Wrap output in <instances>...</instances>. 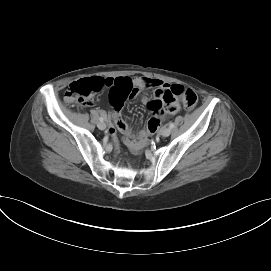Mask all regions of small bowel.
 I'll use <instances>...</instances> for the list:
<instances>
[{
	"instance_id": "small-bowel-1",
	"label": "small bowel",
	"mask_w": 271,
	"mask_h": 271,
	"mask_svg": "<svg viewBox=\"0 0 271 271\" xmlns=\"http://www.w3.org/2000/svg\"><path fill=\"white\" fill-rule=\"evenodd\" d=\"M105 83L104 98L111 101L110 117L113 125L109 131L112 135L120 132L125 135L126 142L134 146L139 141L140 137L135 135L132 129L128 126L121 114L123 103L134 96L141 93V88H151L154 91V98L149 99L146 96L142 97V102L145 103L148 109L153 114V119L160 120L166 114H174L179 110L178 104L171 107H166L162 100V93L172 85L164 83L158 79L149 78H102Z\"/></svg>"
}]
</instances>
